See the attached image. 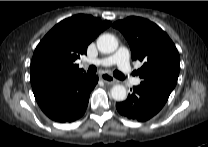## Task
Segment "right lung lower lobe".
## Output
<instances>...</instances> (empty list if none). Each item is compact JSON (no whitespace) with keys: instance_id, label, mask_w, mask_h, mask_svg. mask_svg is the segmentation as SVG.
<instances>
[{"instance_id":"98d812e1","label":"right lung lower lobe","mask_w":208,"mask_h":147,"mask_svg":"<svg viewBox=\"0 0 208 147\" xmlns=\"http://www.w3.org/2000/svg\"><path fill=\"white\" fill-rule=\"evenodd\" d=\"M97 82L98 76L85 74L66 87L35 98L42 111L52 120L73 122L85 113L90 92Z\"/></svg>"}]
</instances>
